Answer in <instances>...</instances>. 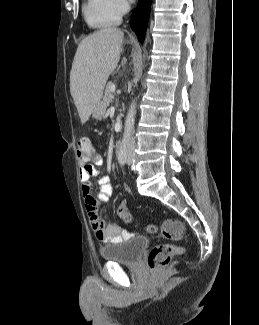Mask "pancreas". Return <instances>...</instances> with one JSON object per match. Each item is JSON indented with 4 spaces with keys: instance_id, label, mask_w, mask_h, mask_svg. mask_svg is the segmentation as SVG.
I'll list each match as a JSON object with an SVG mask.
<instances>
[{
    "instance_id": "pancreas-1",
    "label": "pancreas",
    "mask_w": 259,
    "mask_h": 325,
    "mask_svg": "<svg viewBox=\"0 0 259 325\" xmlns=\"http://www.w3.org/2000/svg\"><path fill=\"white\" fill-rule=\"evenodd\" d=\"M112 83H108L106 85V88H105V93H104V96H103V104L108 107L110 102H111V99H112V93H111V87Z\"/></svg>"
}]
</instances>
